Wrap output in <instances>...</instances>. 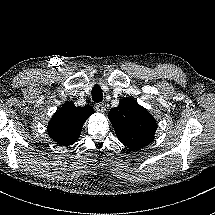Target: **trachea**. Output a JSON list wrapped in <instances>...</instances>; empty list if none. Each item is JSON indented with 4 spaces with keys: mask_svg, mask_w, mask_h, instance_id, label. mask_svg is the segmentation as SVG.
<instances>
[{
    "mask_svg": "<svg viewBox=\"0 0 215 215\" xmlns=\"http://www.w3.org/2000/svg\"><path fill=\"white\" fill-rule=\"evenodd\" d=\"M92 98L97 103L103 100L102 89L99 85H96L92 88Z\"/></svg>",
    "mask_w": 215,
    "mask_h": 215,
    "instance_id": "3493384b",
    "label": "trachea"
}]
</instances>
